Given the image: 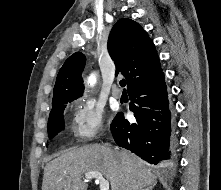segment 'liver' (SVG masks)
Returning a JSON list of instances; mask_svg holds the SVG:
<instances>
[{
	"label": "liver",
	"mask_w": 221,
	"mask_h": 190,
	"mask_svg": "<svg viewBox=\"0 0 221 190\" xmlns=\"http://www.w3.org/2000/svg\"><path fill=\"white\" fill-rule=\"evenodd\" d=\"M92 171L101 173L111 190H143L156 184V176L133 153L90 144L66 150L47 163L42 190H87L82 178Z\"/></svg>",
	"instance_id": "1"
}]
</instances>
